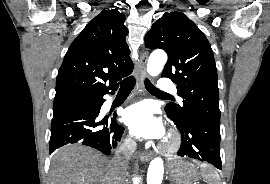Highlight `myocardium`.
Returning a JSON list of instances; mask_svg holds the SVG:
<instances>
[{
	"label": "myocardium",
	"mask_w": 270,
	"mask_h": 184,
	"mask_svg": "<svg viewBox=\"0 0 270 184\" xmlns=\"http://www.w3.org/2000/svg\"><path fill=\"white\" fill-rule=\"evenodd\" d=\"M179 147L180 137L177 132L172 131L169 133L160 149L165 155H172L178 151Z\"/></svg>",
	"instance_id": "myocardium-1"
}]
</instances>
